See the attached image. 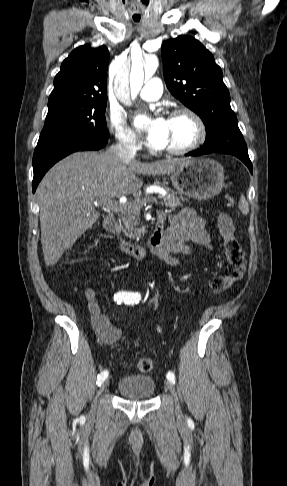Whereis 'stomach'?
<instances>
[{"mask_svg":"<svg viewBox=\"0 0 287 486\" xmlns=\"http://www.w3.org/2000/svg\"><path fill=\"white\" fill-rule=\"evenodd\" d=\"M168 175L180 194L197 200L213 198L224 187L222 165L209 158L187 159Z\"/></svg>","mask_w":287,"mask_h":486,"instance_id":"obj_1","label":"stomach"}]
</instances>
